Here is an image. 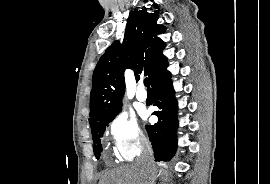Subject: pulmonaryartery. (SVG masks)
Here are the masks:
<instances>
[{
	"instance_id": "1",
	"label": "pulmonary artery",
	"mask_w": 270,
	"mask_h": 184,
	"mask_svg": "<svg viewBox=\"0 0 270 184\" xmlns=\"http://www.w3.org/2000/svg\"><path fill=\"white\" fill-rule=\"evenodd\" d=\"M136 98H137V100H139V101H141V102L146 101V99H147V94H146V92L144 91V89H143L142 87H140V88L137 90Z\"/></svg>"
}]
</instances>
